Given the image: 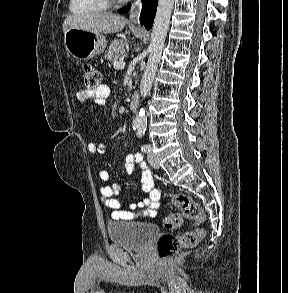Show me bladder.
<instances>
[{
	"label": "bladder",
	"mask_w": 288,
	"mask_h": 293,
	"mask_svg": "<svg viewBox=\"0 0 288 293\" xmlns=\"http://www.w3.org/2000/svg\"><path fill=\"white\" fill-rule=\"evenodd\" d=\"M106 231L110 241L134 250L146 248L159 232L151 223L131 221H110Z\"/></svg>",
	"instance_id": "1"
}]
</instances>
